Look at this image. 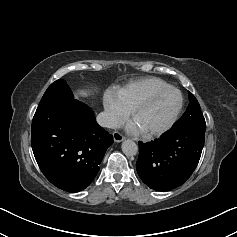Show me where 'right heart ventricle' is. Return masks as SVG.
Here are the masks:
<instances>
[{
  "instance_id": "e07e8e85",
  "label": "right heart ventricle",
  "mask_w": 237,
  "mask_h": 237,
  "mask_svg": "<svg viewBox=\"0 0 237 237\" xmlns=\"http://www.w3.org/2000/svg\"><path fill=\"white\" fill-rule=\"evenodd\" d=\"M167 86L170 85L159 78L146 77L133 80L123 87L112 90L111 93L130 112L132 107L143 97Z\"/></svg>"
}]
</instances>
